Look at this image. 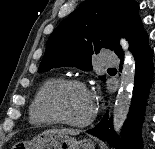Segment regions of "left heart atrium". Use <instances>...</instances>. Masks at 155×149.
I'll list each match as a JSON object with an SVG mask.
<instances>
[{"mask_svg": "<svg viewBox=\"0 0 155 149\" xmlns=\"http://www.w3.org/2000/svg\"><path fill=\"white\" fill-rule=\"evenodd\" d=\"M90 95V98H91V101H92V104H93V107L95 105V103L97 102V96L95 93H92V94H89Z\"/></svg>", "mask_w": 155, "mask_h": 149, "instance_id": "1", "label": "left heart atrium"}]
</instances>
